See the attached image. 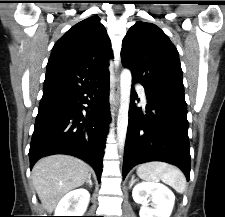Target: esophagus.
I'll return each instance as SVG.
<instances>
[{
    "mask_svg": "<svg viewBox=\"0 0 225 217\" xmlns=\"http://www.w3.org/2000/svg\"><path fill=\"white\" fill-rule=\"evenodd\" d=\"M118 102H119V85H118V77L116 75L114 85H113V90L110 95L111 108L114 109L115 106L118 104Z\"/></svg>",
    "mask_w": 225,
    "mask_h": 217,
    "instance_id": "1",
    "label": "esophagus"
}]
</instances>
